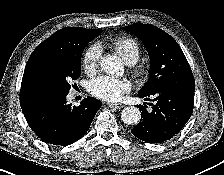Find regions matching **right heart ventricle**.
<instances>
[{
    "label": "right heart ventricle",
    "instance_id": "obj_1",
    "mask_svg": "<svg viewBox=\"0 0 224 175\" xmlns=\"http://www.w3.org/2000/svg\"><path fill=\"white\" fill-rule=\"evenodd\" d=\"M111 45L125 63H135L138 60L140 47L133 38L119 37L114 39Z\"/></svg>",
    "mask_w": 224,
    "mask_h": 175
}]
</instances>
